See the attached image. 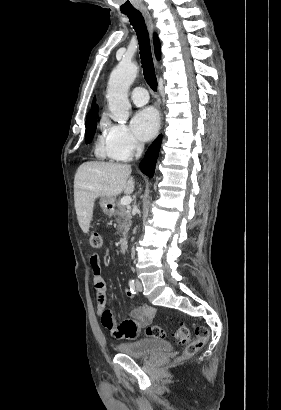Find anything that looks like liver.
Wrapping results in <instances>:
<instances>
[{
  "label": "liver",
  "mask_w": 281,
  "mask_h": 410,
  "mask_svg": "<svg viewBox=\"0 0 281 410\" xmlns=\"http://www.w3.org/2000/svg\"><path fill=\"white\" fill-rule=\"evenodd\" d=\"M131 166L102 161L81 164L74 178V201L79 226L89 232L95 200L99 197L115 198L124 192L130 195L135 182L131 177Z\"/></svg>",
  "instance_id": "liver-1"
}]
</instances>
